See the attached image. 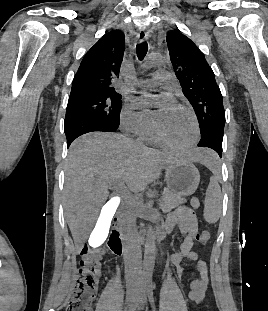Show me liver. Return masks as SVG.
<instances>
[{
  "mask_svg": "<svg viewBox=\"0 0 268 311\" xmlns=\"http://www.w3.org/2000/svg\"><path fill=\"white\" fill-rule=\"evenodd\" d=\"M208 152L196 149L187 159L207 164ZM181 158L141 146L121 134L92 132L76 139L69 148L64 185L65 216L76 250H81L94 229L113 184L143 191L165 166Z\"/></svg>",
  "mask_w": 268,
  "mask_h": 311,
  "instance_id": "1",
  "label": "liver"
}]
</instances>
